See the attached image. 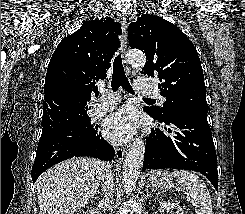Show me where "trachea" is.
I'll list each match as a JSON object with an SVG mask.
<instances>
[{
	"label": "trachea",
	"instance_id": "1",
	"mask_svg": "<svg viewBox=\"0 0 245 214\" xmlns=\"http://www.w3.org/2000/svg\"><path fill=\"white\" fill-rule=\"evenodd\" d=\"M120 86H122L127 92L134 94V90L132 89V86L130 85L125 75L121 55H118L115 57L113 62V75H112L111 87L113 91H117ZM144 99L153 100L150 98H144Z\"/></svg>",
	"mask_w": 245,
	"mask_h": 214
}]
</instances>
